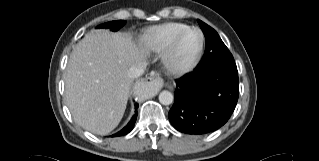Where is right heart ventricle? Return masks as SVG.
Wrapping results in <instances>:
<instances>
[{
	"label": "right heart ventricle",
	"instance_id": "obj_1",
	"mask_svg": "<svg viewBox=\"0 0 319 161\" xmlns=\"http://www.w3.org/2000/svg\"><path fill=\"white\" fill-rule=\"evenodd\" d=\"M188 27L180 22H167L146 29L140 37L143 47L152 53H162L169 46L173 36Z\"/></svg>",
	"mask_w": 319,
	"mask_h": 161
}]
</instances>
